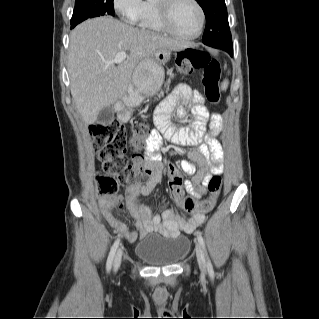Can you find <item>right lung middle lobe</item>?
<instances>
[{"mask_svg":"<svg viewBox=\"0 0 319 319\" xmlns=\"http://www.w3.org/2000/svg\"><path fill=\"white\" fill-rule=\"evenodd\" d=\"M103 15L114 16L113 0H76L71 29L88 18Z\"/></svg>","mask_w":319,"mask_h":319,"instance_id":"dd1d6c3e","label":"right lung middle lobe"}]
</instances>
